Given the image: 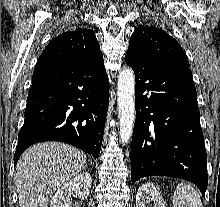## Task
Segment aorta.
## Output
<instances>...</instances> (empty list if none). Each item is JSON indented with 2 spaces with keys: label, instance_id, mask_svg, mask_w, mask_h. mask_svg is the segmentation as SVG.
I'll use <instances>...</instances> for the list:
<instances>
[{
  "label": "aorta",
  "instance_id": "1",
  "mask_svg": "<svg viewBox=\"0 0 220 207\" xmlns=\"http://www.w3.org/2000/svg\"><path fill=\"white\" fill-rule=\"evenodd\" d=\"M119 137L127 144L133 133L135 121V75L131 68L123 69L118 77Z\"/></svg>",
  "mask_w": 220,
  "mask_h": 207
}]
</instances>
